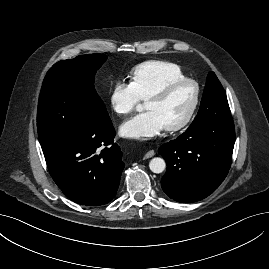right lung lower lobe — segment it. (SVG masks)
<instances>
[{"mask_svg":"<svg viewBox=\"0 0 269 269\" xmlns=\"http://www.w3.org/2000/svg\"><path fill=\"white\" fill-rule=\"evenodd\" d=\"M115 135L110 122L41 146L53 180L72 201L99 206L115 197L125 166Z\"/></svg>","mask_w":269,"mask_h":269,"instance_id":"1","label":"right lung lower lobe"}]
</instances>
